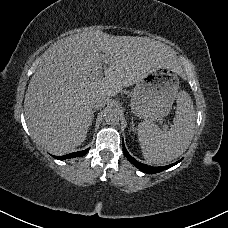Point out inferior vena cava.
<instances>
[{
  "label": "inferior vena cava",
  "instance_id": "inferior-vena-cava-1",
  "mask_svg": "<svg viewBox=\"0 0 228 228\" xmlns=\"http://www.w3.org/2000/svg\"><path fill=\"white\" fill-rule=\"evenodd\" d=\"M107 103H108L107 100L102 96L95 93L91 95L90 106L92 109L100 110L104 108Z\"/></svg>",
  "mask_w": 228,
  "mask_h": 228
}]
</instances>
